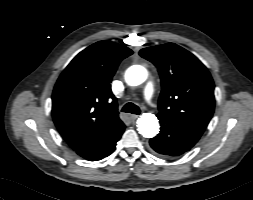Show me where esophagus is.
<instances>
[{"label":"esophagus","instance_id":"esophagus-1","mask_svg":"<svg viewBox=\"0 0 253 200\" xmlns=\"http://www.w3.org/2000/svg\"><path fill=\"white\" fill-rule=\"evenodd\" d=\"M138 117H139V116H138V115H135V114H131V115H130V119H131L132 121H136Z\"/></svg>","mask_w":253,"mask_h":200}]
</instances>
